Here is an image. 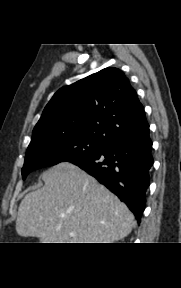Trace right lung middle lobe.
I'll return each mask as SVG.
<instances>
[{"mask_svg":"<svg viewBox=\"0 0 181 288\" xmlns=\"http://www.w3.org/2000/svg\"><path fill=\"white\" fill-rule=\"evenodd\" d=\"M105 145L92 137L83 135L49 136L31 141L22 168L23 179L38 168L55 165L63 161L96 154Z\"/></svg>","mask_w":181,"mask_h":288,"instance_id":"obj_1","label":"right lung middle lobe"}]
</instances>
